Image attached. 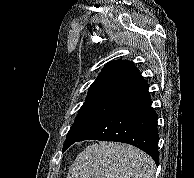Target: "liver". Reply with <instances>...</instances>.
<instances>
[{
    "label": "liver",
    "mask_w": 194,
    "mask_h": 178,
    "mask_svg": "<svg viewBox=\"0 0 194 178\" xmlns=\"http://www.w3.org/2000/svg\"><path fill=\"white\" fill-rule=\"evenodd\" d=\"M155 163L143 151L124 143L87 146L71 165L67 178H154Z\"/></svg>",
    "instance_id": "1"
}]
</instances>
